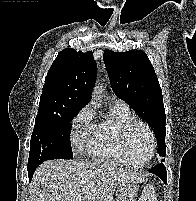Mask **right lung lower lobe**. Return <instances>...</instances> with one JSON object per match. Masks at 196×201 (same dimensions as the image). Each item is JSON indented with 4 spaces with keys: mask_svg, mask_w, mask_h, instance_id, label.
<instances>
[{
    "mask_svg": "<svg viewBox=\"0 0 196 201\" xmlns=\"http://www.w3.org/2000/svg\"><path fill=\"white\" fill-rule=\"evenodd\" d=\"M39 165H35V166H32V167H28V176H29V180L32 179V176L34 174V171L36 170V168L38 167Z\"/></svg>",
    "mask_w": 196,
    "mask_h": 201,
    "instance_id": "1",
    "label": "right lung lower lobe"
}]
</instances>
